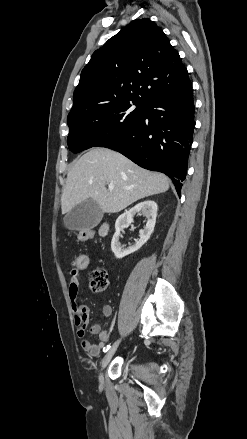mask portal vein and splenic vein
<instances>
[{"instance_id":"18ae733b","label":"portal vein and splenic vein","mask_w":247,"mask_h":439,"mask_svg":"<svg viewBox=\"0 0 247 439\" xmlns=\"http://www.w3.org/2000/svg\"><path fill=\"white\" fill-rule=\"evenodd\" d=\"M108 188H109V190H113L114 189V185L113 184H108Z\"/></svg>"}]
</instances>
